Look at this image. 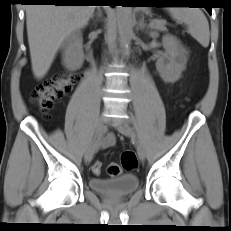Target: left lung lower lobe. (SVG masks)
<instances>
[{
    "label": "left lung lower lobe",
    "instance_id": "1",
    "mask_svg": "<svg viewBox=\"0 0 231 231\" xmlns=\"http://www.w3.org/2000/svg\"><path fill=\"white\" fill-rule=\"evenodd\" d=\"M143 3H154L153 0H142ZM206 10L211 14V7H206Z\"/></svg>",
    "mask_w": 231,
    "mask_h": 231
}]
</instances>
